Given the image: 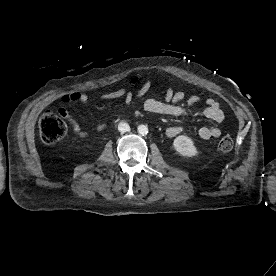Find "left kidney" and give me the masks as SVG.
I'll list each match as a JSON object with an SVG mask.
<instances>
[{"instance_id": "obj_1", "label": "left kidney", "mask_w": 276, "mask_h": 276, "mask_svg": "<svg viewBox=\"0 0 276 276\" xmlns=\"http://www.w3.org/2000/svg\"><path fill=\"white\" fill-rule=\"evenodd\" d=\"M174 149L182 156L193 157L198 151L192 139L185 135H180L174 139Z\"/></svg>"}]
</instances>
